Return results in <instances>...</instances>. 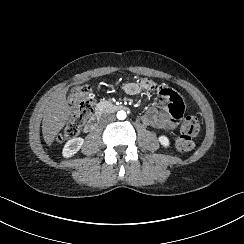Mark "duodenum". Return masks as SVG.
<instances>
[{"label": "duodenum", "mask_w": 244, "mask_h": 244, "mask_svg": "<svg viewBox=\"0 0 244 244\" xmlns=\"http://www.w3.org/2000/svg\"><path fill=\"white\" fill-rule=\"evenodd\" d=\"M105 107H106V105H102V106L96 111V113H95V115H94V118L99 117V116L102 114V111H103V109H104ZM107 107H110V105H108ZM124 108H125V105H123V104H119V103L114 104V105L111 106V109H113V110H115V111L123 110ZM94 126H95V121L92 119V120L88 123L87 128H88L89 130H93Z\"/></svg>", "instance_id": "obj_1"}]
</instances>
